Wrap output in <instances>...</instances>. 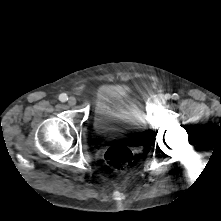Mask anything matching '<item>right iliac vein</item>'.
I'll list each match as a JSON object with an SVG mask.
<instances>
[{
    "label": "right iliac vein",
    "instance_id": "obj_1",
    "mask_svg": "<svg viewBox=\"0 0 221 221\" xmlns=\"http://www.w3.org/2000/svg\"><path fill=\"white\" fill-rule=\"evenodd\" d=\"M76 98L75 97H70L69 99H68V104L70 105V106H74L75 104H76Z\"/></svg>",
    "mask_w": 221,
    "mask_h": 221
}]
</instances>
